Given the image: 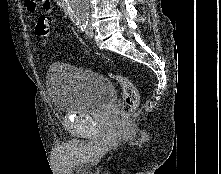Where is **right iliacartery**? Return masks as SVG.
Returning a JSON list of instances; mask_svg holds the SVG:
<instances>
[{"instance_id":"1","label":"right iliac artery","mask_w":221,"mask_h":174,"mask_svg":"<svg viewBox=\"0 0 221 174\" xmlns=\"http://www.w3.org/2000/svg\"><path fill=\"white\" fill-rule=\"evenodd\" d=\"M75 25H77L80 29L83 27L84 25V21H80V20H75L74 21Z\"/></svg>"}]
</instances>
